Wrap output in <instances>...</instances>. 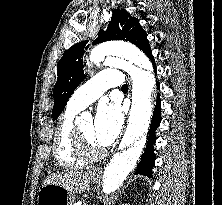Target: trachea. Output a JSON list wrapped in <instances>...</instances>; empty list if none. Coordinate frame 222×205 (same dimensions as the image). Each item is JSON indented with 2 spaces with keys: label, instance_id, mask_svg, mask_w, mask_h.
I'll return each mask as SVG.
<instances>
[{
  "label": "trachea",
  "instance_id": "obj_1",
  "mask_svg": "<svg viewBox=\"0 0 222 205\" xmlns=\"http://www.w3.org/2000/svg\"><path fill=\"white\" fill-rule=\"evenodd\" d=\"M121 90H128V85H127V84H124V85L121 87Z\"/></svg>",
  "mask_w": 222,
  "mask_h": 205
}]
</instances>
